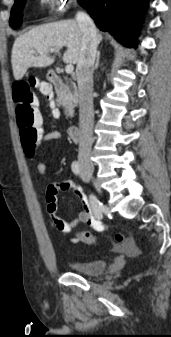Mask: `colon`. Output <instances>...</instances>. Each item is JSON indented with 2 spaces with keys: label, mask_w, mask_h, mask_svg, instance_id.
Segmentation results:
<instances>
[{
  "label": "colon",
  "mask_w": 171,
  "mask_h": 337,
  "mask_svg": "<svg viewBox=\"0 0 171 337\" xmlns=\"http://www.w3.org/2000/svg\"><path fill=\"white\" fill-rule=\"evenodd\" d=\"M41 87L44 98H50V102H55L54 92L48 91V87L42 85L37 79L31 81H20L13 85V96L16 106V120L20 131L21 145L27 157L33 158L40 139L45 133V126H41V115L37 108V104L32 94L33 87ZM50 112H55V107H50ZM55 119H62V112L54 113ZM78 236L87 244H92L95 241L94 236L88 232L83 231ZM114 241L117 246L125 251H135L136 245L133 243L129 234L116 233Z\"/></svg>",
  "instance_id": "obj_1"
}]
</instances>
